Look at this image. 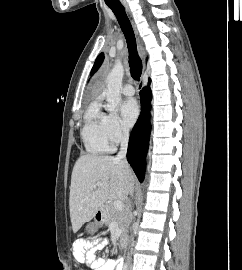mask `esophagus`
<instances>
[{
	"label": "esophagus",
	"instance_id": "34e87169",
	"mask_svg": "<svg viewBox=\"0 0 242 270\" xmlns=\"http://www.w3.org/2000/svg\"><path fill=\"white\" fill-rule=\"evenodd\" d=\"M125 8H126V10L129 12V8H128L127 5H125ZM143 85H144V83H143V80L141 79V81H140L139 84H138V92H140V91L142 90Z\"/></svg>",
	"mask_w": 242,
	"mask_h": 270
}]
</instances>
